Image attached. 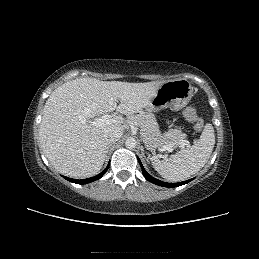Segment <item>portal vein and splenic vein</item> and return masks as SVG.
<instances>
[{"label":"portal vein and splenic vein","instance_id":"portal-vein-and-splenic-vein-1","mask_svg":"<svg viewBox=\"0 0 259 259\" xmlns=\"http://www.w3.org/2000/svg\"><path fill=\"white\" fill-rule=\"evenodd\" d=\"M112 122H116V120L112 118L111 115L104 114L102 117L94 119V121H92V125L99 126L102 124H109ZM182 144H183L182 146H185V145H188L189 142L185 140ZM169 149L170 147L163 146L162 150H169Z\"/></svg>","mask_w":259,"mask_h":259}]
</instances>
